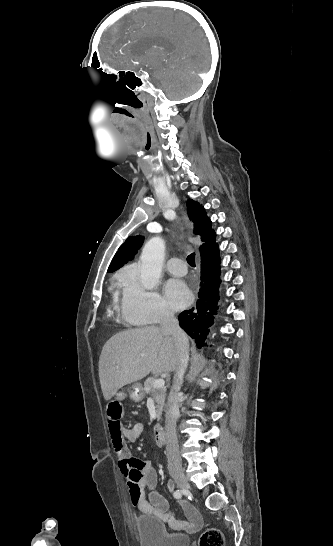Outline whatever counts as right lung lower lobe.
<instances>
[{
	"label": "right lung lower lobe",
	"instance_id": "98d812e1",
	"mask_svg": "<svg viewBox=\"0 0 333 546\" xmlns=\"http://www.w3.org/2000/svg\"><path fill=\"white\" fill-rule=\"evenodd\" d=\"M220 257L218 245L207 255L201 256V284L196 308L185 310L179 315L180 326L195 340L198 347L204 341L213 324L219 300Z\"/></svg>",
	"mask_w": 333,
	"mask_h": 546
}]
</instances>
